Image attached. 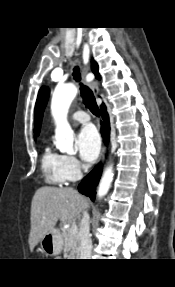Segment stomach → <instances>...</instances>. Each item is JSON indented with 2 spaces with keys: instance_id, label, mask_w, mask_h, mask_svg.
<instances>
[{
  "instance_id": "stomach-1",
  "label": "stomach",
  "mask_w": 175,
  "mask_h": 287,
  "mask_svg": "<svg viewBox=\"0 0 175 287\" xmlns=\"http://www.w3.org/2000/svg\"><path fill=\"white\" fill-rule=\"evenodd\" d=\"M43 252L49 256H55L61 253L63 248V237L59 230L52 229L40 240Z\"/></svg>"
}]
</instances>
